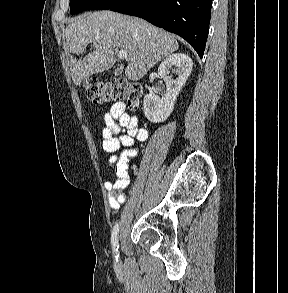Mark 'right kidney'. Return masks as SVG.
Returning a JSON list of instances; mask_svg holds the SVG:
<instances>
[{"instance_id": "obj_1", "label": "right kidney", "mask_w": 288, "mask_h": 293, "mask_svg": "<svg viewBox=\"0 0 288 293\" xmlns=\"http://www.w3.org/2000/svg\"><path fill=\"white\" fill-rule=\"evenodd\" d=\"M193 62L187 55L176 53L168 56L158 67V75L165 81L167 92L162 98L148 94L144 98L143 111L153 123L165 121L173 111L175 101L191 74ZM172 71L176 78L169 77Z\"/></svg>"}]
</instances>
